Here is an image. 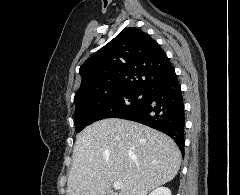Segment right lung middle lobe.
Listing matches in <instances>:
<instances>
[{
    "mask_svg": "<svg viewBox=\"0 0 240 195\" xmlns=\"http://www.w3.org/2000/svg\"><path fill=\"white\" fill-rule=\"evenodd\" d=\"M144 95L145 91L130 88L105 96L74 101L76 132L98 120L116 117L138 106Z\"/></svg>",
    "mask_w": 240,
    "mask_h": 195,
    "instance_id": "right-lung-middle-lobe-1",
    "label": "right lung middle lobe"
}]
</instances>
